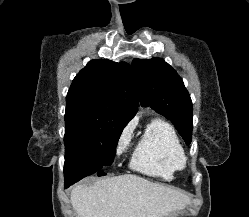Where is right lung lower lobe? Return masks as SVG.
<instances>
[{
    "mask_svg": "<svg viewBox=\"0 0 249 217\" xmlns=\"http://www.w3.org/2000/svg\"><path fill=\"white\" fill-rule=\"evenodd\" d=\"M95 167L89 160L79 157L77 155H65L64 175H65V188L79 181L85 176L91 175L95 171ZM94 174L104 176L103 170H98Z\"/></svg>",
    "mask_w": 249,
    "mask_h": 217,
    "instance_id": "obj_1",
    "label": "right lung lower lobe"
}]
</instances>
